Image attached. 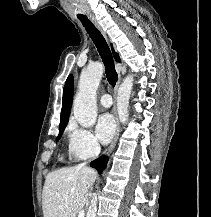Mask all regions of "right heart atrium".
<instances>
[{"instance_id": "d8ad5b80", "label": "right heart atrium", "mask_w": 211, "mask_h": 217, "mask_svg": "<svg viewBox=\"0 0 211 217\" xmlns=\"http://www.w3.org/2000/svg\"><path fill=\"white\" fill-rule=\"evenodd\" d=\"M67 135L69 151L77 159H89L99 154L100 145L89 129L71 123L67 128Z\"/></svg>"}]
</instances>
